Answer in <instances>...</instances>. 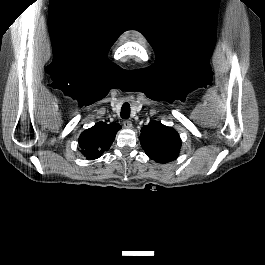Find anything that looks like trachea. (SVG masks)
Returning <instances> with one entry per match:
<instances>
[{
	"label": "trachea",
	"instance_id": "3493384b",
	"mask_svg": "<svg viewBox=\"0 0 265 265\" xmlns=\"http://www.w3.org/2000/svg\"><path fill=\"white\" fill-rule=\"evenodd\" d=\"M120 115H121V117H122L123 119H128V118L130 117V105H129V103L125 102V103L122 105Z\"/></svg>",
	"mask_w": 265,
	"mask_h": 265
}]
</instances>
